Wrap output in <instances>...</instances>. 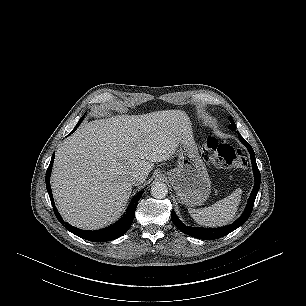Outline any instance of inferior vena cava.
Instances as JSON below:
<instances>
[{
  "label": "inferior vena cava",
  "instance_id": "1",
  "mask_svg": "<svg viewBox=\"0 0 306 306\" xmlns=\"http://www.w3.org/2000/svg\"><path fill=\"white\" fill-rule=\"evenodd\" d=\"M146 177L142 172L134 171L130 174L129 180L132 185H139L145 181Z\"/></svg>",
  "mask_w": 306,
  "mask_h": 306
}]
</instances>
